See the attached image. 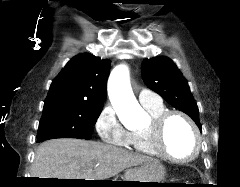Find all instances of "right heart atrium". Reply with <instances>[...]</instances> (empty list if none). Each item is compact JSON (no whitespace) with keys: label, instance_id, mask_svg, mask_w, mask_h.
<instances>
[{"label":"right heart atrium","instance_id":"d8ad5b80","mask_svg":"<svg viewBox=\"0 0 240 187\" xmlns=\"http://www.w3.org/2000/svg\"><path fill=\"white\" fill-rule=\"evenodd\" d=\"M95 129L100 139L107 144L126 147L129 145V132L122 126L114 108L105 106L95 121Z\"/></svg>","mask_w":240,"mask_h":187}]
</instances>
